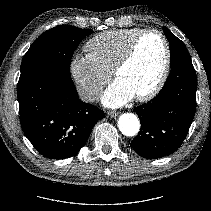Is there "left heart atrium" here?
Masks as SVG:
<instances>
[{
	"label": "left heart atrium",
	"mask_w": 211,
	"mask_h": 211,
	"mask_svg": "<svg viewBox=\"0 0 211 211\" xmlns=\"http://www.w3.org/2000/svg\"><path fill=\"white\" fill-rule=\"evenodd\" d=\"M134 97V94L120 81L115 80L104 92L102 102L107 107H120Z\"/></svg>",
	"instance_id": "left-heart-atrium-1"
}]
</instances>
